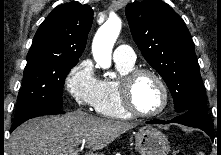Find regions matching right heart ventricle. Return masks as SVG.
<instances>
[{"label":"right heart ventricle","instance_id":"e07e8e85","mask_svg":"<svg viewBox=\"0 0 221 155\" xmlns=\"http://www.w3.org/2000/svg\"><path fill=\"white\" fill-rule=\"evenodd\" d=\"M116 68L120 74L118 79H102L99 80L98 95L94 105L95 111L105 117L114 119H128L131 118L122 106L119 94V82L122 76L132 71L134 64L116 62Z\"/></svg>","mask_w":221,"mask_h":155}]
</instances>
